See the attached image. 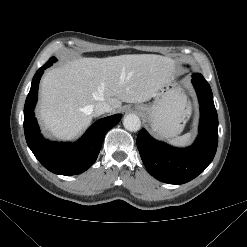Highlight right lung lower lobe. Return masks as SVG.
<instances>
[{
	"instance_id": "obj_1",
	"label": "right lung lower lobe",
	"mask_w": 247,
	"mask_h": 247,
	"mask_svg": "<svg viewBox=\"0 0 247 247\" xmlns=\"http://www.w3.org/2000/svg\"><path fill=\"white\" fill-rule=\"evenodd\" d=\"M49 64H44L35 74L24 107V131L27 144L39 162L49 171L60 175H77L86 171L96 161L105 134L121 119L113 115L94 123L75 143L51 142L42 137L34 117L40 78Z\"/></svg>"
}]
</instances>
